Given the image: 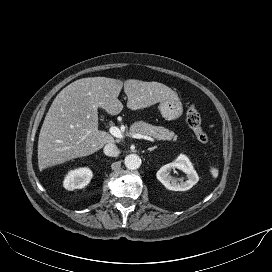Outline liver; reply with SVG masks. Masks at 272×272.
<instances>
[{"mask_svg":"<svg viewBox=\"0 0 272 272\" xmlns=\"http://www.w3.org/2000/svg\"><path fill=\"white\" fill-rule=\"evenodd\" d=\"M124 87L127 107L139 110L159 102L178 99L159 82L107 77H88L66 86L52 102L38 139V167L42 171L66 161L91 155L105 144L114 143L107 132L98 130V108L110 115L123 109L118 96Z\"/></svg>","mask_w":272,"mask_h":272,"instance_id":"liver-1","label":"liver"}]
</instances>
